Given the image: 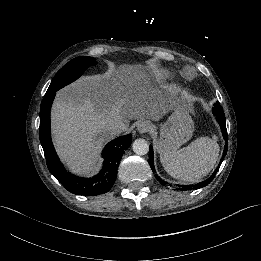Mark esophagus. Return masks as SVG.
<instances>
[{
  "label": "esophagus",
  "instance_id": "obj_1",
  "mask_svg": "<svg viewBox=\"0 0 261 261\" xmlns=\"http://www.w3.org/2000/svg\"><path fill=\"white\" fill-rule=\"evenodd\" d=\"M151 127H152L151 122L143 121L137 125V131L139 133H146L151 129Z\"/></svg>",
  "mask_w": 261,
  "mask_h": 261
}]
</instances>
